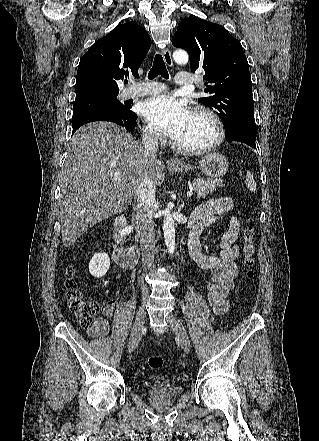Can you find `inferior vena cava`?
Instances as JSON below:
<instances>
[{"instance_id": "602c4592", "label": "inferior vena cava", "mask_w": 319, "mask_h": 441, "mask_svg": "<svg viewBox=\"0 0 319 441\" xmlns=\"http://www.w3.org/2000/svg\"><path fill=\"white\" fill-rule=\"evenodd\" d=\"M158 138V133L152 130H147L143 133L142 145L145 165L148 164L149 159L157 157L159 151ZM155 192L156 189L153 181L146 176L133 204L132 220L136 224V233L140 240L144 268L150 267L154 261L156 244L153 221V211L156 205ZM141 290L143 295L148 294L146 286L143 285Z\"/></svg>"}]
</instances>
